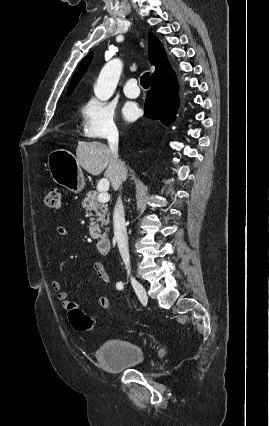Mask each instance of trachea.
Instances as JSON below:
<instances>
[{"label":"trachea","mask_w":269,"mask_h":426,"mask_svg":"<svg viewBox=\"0 0 269 426\" xmlns=\"http://www.w3.org/2000/svg\"><path fill=\"white\" fill-rule=\"evenodd\" d=\"M149 76L150 73L146 72L144 73L141 78H140V84L143 88H148L149 87Z\"/></svg>","instance_id":"3493384b"}]
</instances>
